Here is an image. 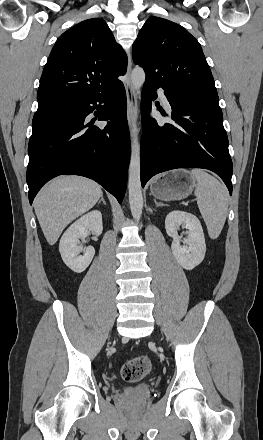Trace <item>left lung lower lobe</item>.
<instances>
[{
  "label": "left lung lower lobe",
  "mask_w": 263,
  "mask_h": 440,
  "mask_svg": "<svg viewBox=\"0 0 263 440\" xmlns=\"http://www.w3.org/2000/svg\"><path fill=\"white\" fill-rule=\"evenodd\" d=\"M160 87L172 108L171 123H157L148 115ZM141 112L142 187L152 176L167 170L204 168L218 174L232 194L233 165L219 101L187 98L169 86L145 81Z\"/></svg>",
  "instance_id": "left-lung-lower-lobe-1"
}]
</instances>
